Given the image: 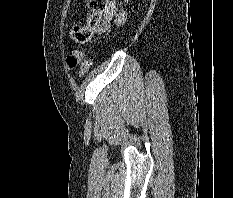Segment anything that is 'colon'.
Returning a JSON list of instances; mask_svg holds the SVG:
<instances>
[{
    "mask_svg": "<svg viewBox=\"0 0 233 198\" xmlns=\"http://www.w3.org/2000/svg\"><path fill=\"white\" fill-rule=\"evenodd\" d=\"M108 0H89L88 8L90 15L87 19V23L83 27L75 26L71 29L70 34L73 40L78 43H85L89 41L93 35L95 27L99 24L102 14L107 8ZM79 63V59L73 54L67 58V65L70 69H74ZM92 65L90 58L85 59L80 66L79 75H86Z\"/></svg>",
    "mask_w": 233,
    "mask_h": 198,
    "instance_id": "obj_1",
    "label": "colon"
}]
</instances>
